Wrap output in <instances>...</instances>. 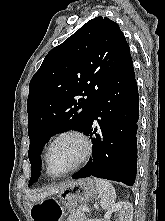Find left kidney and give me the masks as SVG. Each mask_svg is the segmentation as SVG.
<instances>
[{
	"instance_id": "5707ae66",
	"label": "left kidney",
	"mask_w": 165,
	"mask_h": 221,
	"mask_svg": "<svg viewBox=\"0 0 165 221\" xmlns=\"http://www.w3.org/2000/svg\"><path fill=\"white\" fill-rule=\"evenodd\" d=\"M112 213L117 214L119 221H132L133 206L129 202H118L114 204L105 214L104 221H109Z\"/></svg>"
}]
</instances>
